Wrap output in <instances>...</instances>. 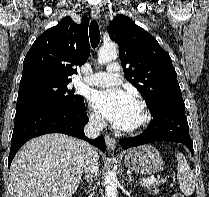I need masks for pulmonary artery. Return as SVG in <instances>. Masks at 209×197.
<instances>
[{"label": "pulmonary artery", "mask_w": 209, "mask_h": 197, "mask_svg": "<svg viewBox=\"0 0 209 197\" xmlns=\"http://www.w3.org/2000/svg\"><path fill=\"white\" fill-rule=\"evenodd\" d=\"M119 72L120 65L117 62H112L108 64L106 71L97 72L90 78H86L85 81L100 87L117 85L121 81Z\"/></svg>", "instance_id": "e3ab8cb5"}]
</instances>
